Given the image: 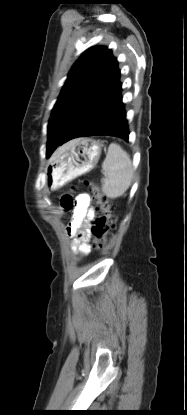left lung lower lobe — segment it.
<instances>
[{
    "mask_svg": "<svg viewBox=\"0 0 187 415\" xmlns=\"http://www.w3.org/2000/svg\"><path fill=\"white\" fill-rule=\"evenodd\" d=\"M121 92L120 70L112 56L91 88L89 99L96 101L91 115L78 119L66 131L59 145L74 138L99 135L128 141L129 130Z\"/></svg>",
    "mask_w": 187,
    "mask_h": 415,
    "instance_id": "1",
    "label": "left lung lower lobe"
}]
</instances>
